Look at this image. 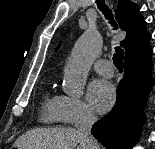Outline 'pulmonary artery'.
Masks as SVG:
<instances>
[{"instance_id":"1","label":"pulmonary artery","mask_w":155,"mask_h":149,"mask_svg":"<svg viewBox=\"0 0 155 149\" xmlns=\"http://www.w3.org/2000/svg\"><path fill=\"white\" fill-rule=\"evenodd\" d=\"M93 68L98 74L106 77H111L114 73L113 64L106 59L96 61L93 64Z\"/></svg>"}]
</instances>
